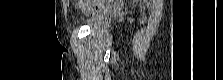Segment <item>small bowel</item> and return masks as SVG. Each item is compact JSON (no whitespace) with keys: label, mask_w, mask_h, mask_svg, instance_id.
I'll return each mask as SVG.
<instances>
[{"label":"small bowel","mask_w":223,"mask_h":80,"mask_svg":"<svg viewBox=\"0 0 223 80\" xmlns=\"http://www.w3.org/2000/svg\"><path fill=\"white\" fill-rule=\"evenodd\" d=\"M107 9H109V6H107V5L96 4V5L91 6L88 9V14L95 15V14L101 13L103 11H106Z\"/></svg>","instance_id":"small-bowel-1"}]
</instances>
